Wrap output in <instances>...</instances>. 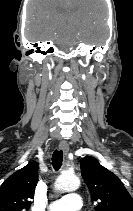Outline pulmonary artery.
Masks as SVG:
<instances>
[{"instance_id": "1", "label": "pulmonary artery", "mask_w": 133, "mask_h": 211, "mask_svg": "<svg viewBox=\"0 0 133 211\" xmlns=\"http://www.w3.org/2000/svg\"><path fill=\"white\" fill-rule=\"evenodd\" d=\"M81 207V196L77 193H70L51 202L48 209L49 211H78Z\"/></svg>"}]
</instances>
